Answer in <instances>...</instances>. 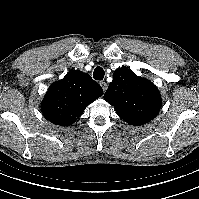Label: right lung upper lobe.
Returning a JSON list of instances; mask_svg holds the SVG:
<instances>
[{"instance_id": "obj_1", "label": "right lung upper lobe", "mask_w": 199, "mask_h": 199, "mask_svg": "<svg viewBox=\"0 0 199 199\" xmlns=\"http://www.w3.org/2000/svg\"><path fill=\"white\" fill-rule=\"evenodd\" d=\"M102 94L103 89L89 74L72 70L50 86L41 110L53 124L69 126L82 115L87 105Z\"/></svg>"}]
</instances>
